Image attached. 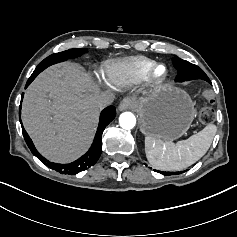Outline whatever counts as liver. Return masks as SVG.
Segmentation results:
<instances>
[{
	"label": "liver",
	"mask_w": 237,
	"mask_h": 237,
	"mask_svg": "<svg viewBox=\"0 0 237 237\" xmlns=\"http://www.w3.org/2000/svg\"><path fill=\"white\" fill-rule=\"evenodd\" d=\"M91 77L71 63L52 66L28 87L22 106L24 127L47 158L79 157L94 134L100 110Z\"/></svg>",
	"instance_id": "liver-1"
}]
</instances>
